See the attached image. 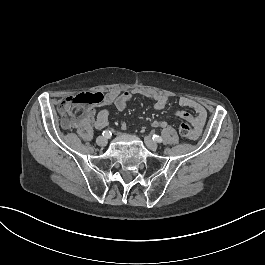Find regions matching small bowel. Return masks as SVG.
<instances>
[{"mask_svg":"<svg viewBox=\"0 0 265 265\" xmlns=\"http://www.w3.org/2000/svg\"><path fill=\"white\" fill-rule=\"evenodd\" d=\"M134 94H144L146 97L154 100L155 110H163L168 102V97L164 94L143 93L140 90H133L131 92L112 90L105 94L100 110L96 111L89 107L83 109L80 118L73 121L71 125L77 128H85L90 124H94L97 129L105 128L108 124L109 108L114 107L118 111L125 110ZM178 104L183 108H191L194 111V115H192L184 110H176L174 116L186 121L191 126L192 137L189 139L197 140L201 136L207 119L206 108L200 102L187 96H181ZM153 126L164 128L167 126V122L163 119L155 120ZM126 127L127 124L123 122L121 128L125 130Z\"/></svg>","mask_w":265,"mask_h":265,"instance_id":"small-bowel-1","label":"small bowel"}]
</instances>
